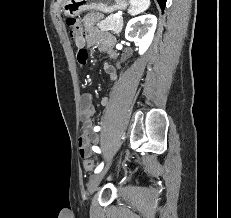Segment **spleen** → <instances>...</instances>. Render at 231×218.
Masks as SVG:
<instances>
[{
  "label": "spleen",
  "mask_w": 231,
  "mask_h": 218,
  "mask_svg": "<svg viewBox=\"0 0 231 218\" xmlns=\"http://www.w3.org/2000/svg\"><path fill=\"white\" fill-rule=\"evenodd\" d=\"M150 6V0H130L129 14L134 16L147 10Z\"/></svg>",
  "instance_id": "obj_1"
}]
</instances>
